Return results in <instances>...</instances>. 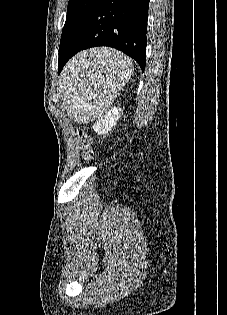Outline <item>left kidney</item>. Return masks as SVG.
Segmentation results:
<instances>
[{"label":"left kidney","mask_w":227,"mask_h":315,"mask_svg":"<svg viewBox=\"0 0 227 315\" xmlns=\"http://www.w3.org/2000/svg\"><path fill=\"white\" fill-rule=\"evenodd\" d=\"M121 109L113 107L111 110L106 111L93 125V130L98 134H107L116 125L120 117Z\"/></svg>","instance_id":"left-kidney-1"}]
</instances>
